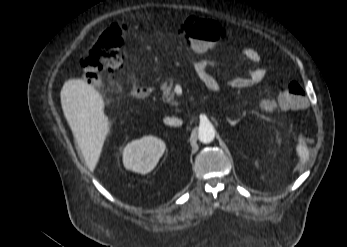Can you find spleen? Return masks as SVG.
<instances>
[{"mask_svg":"<svg viewBox=\"0 0 347 247\" xmlns=\"http://www.w3.org/2000/svg\"><path fill=\"white\" fill-rule=\"evenodd\" d=\"M298 152H299V155H300V158H301V161H305L308 156H309V150L306 146V143L305 142H300L299 145H298Z\"/></svg>","mask_w":347,"mask_h":247,"instance_id":"obj_1","label":"spleen"}]
</instances>
